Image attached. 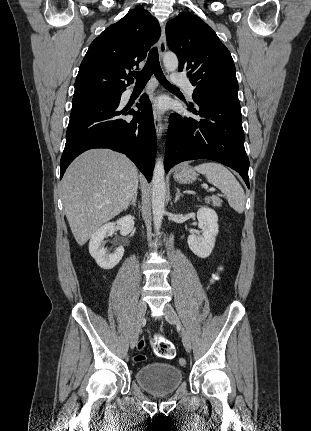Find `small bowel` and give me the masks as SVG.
I'll return each instance as SVG.
<instances>
[{
    "label": "small bowel",
    "instance_id": "small-bowel-1",
    "mask_svg": "<svg viewBox=\"0 0 311 431\" xmlns=\"http://www.w3.org/2000/svg\"><path fill=\"white\" fill-rule=\"evenodd\" d=\"M217 278H218V276H217V275H214V276H213V279H214V280H216Z\"/></svg>",
    "mask_w": 311,
    "mask_h": 431
}]
</instances>
